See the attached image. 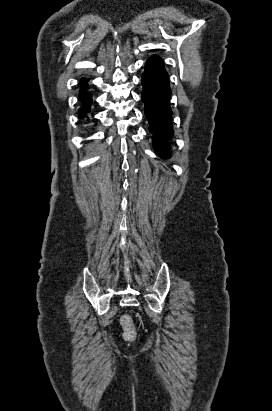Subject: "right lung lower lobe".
<instances>
[{
  "label": "right lung lower lobe",
  "instance_id": "1",
  "mask_svg": "<svg viewBox=\"0 0 272 411\" xmlns=\"http://www.w3.org/2000/svg\"><path fill=\"white\" fill-rule=\"evenodd\" d=\"M87 79L80 82V85H84L82 88V91L79 94V99L83 103V107L79 110V117L83 118L86 117V114L90 112V104L92 102L91 95L85 90V87H87Z\"/></svg>",
  "mask_w": 272,
  "mask_h": 411
}]
</instances>
